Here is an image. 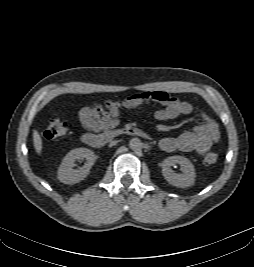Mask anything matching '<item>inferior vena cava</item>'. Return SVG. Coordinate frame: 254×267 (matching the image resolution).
<instances>
[{
    "label": "inferior vena cava",
    "instance_id": "inferior-vena-cava-1",
    "mask_svg": "<svg viewBox=\"0 0 254 267\" xmlns=\"http://www.w3.org/2000/svg\"><path fill=\"white\" fill-rule=\"evenodd\" d=\"M116 144H117V141H112V142H110L109 147H112V146H114Z\"/></svg>",
    "mask_w": 254,
    "mask_h": 267
}]
</instances>
